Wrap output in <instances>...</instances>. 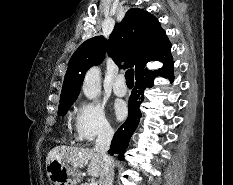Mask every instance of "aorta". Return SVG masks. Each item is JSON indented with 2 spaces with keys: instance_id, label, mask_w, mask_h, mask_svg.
<instances>
[{
  "instance_id": "obj_1",
  "label": "aorta",
  "mask_w": 233,
  "mask_h": 185,
  "mask_svg": "<svg viewBox=\"0 0 233 185\" xmlns=\"http://www.w3.org/2000/svg\"><path fill=\"white\" fill-rule=\"evenodd\" d=\"M82 90L88 99H94L101 90V74L97 67L91 68L85 75Z\"/></svg>"
}]
</instances>
